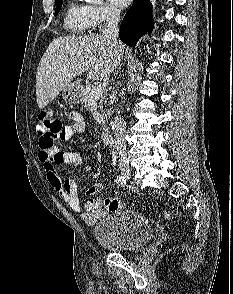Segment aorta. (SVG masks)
Listing matches in <instances>:
<instances>
[{
  "label": "aorta",
  "mask_w": 233,
  "mask_h": 294,
  "mask_svg": "<svg viewBox=\"0 0 233 294\" xmlns=\"http://www.w3.org/2000/svg\"><path fill=\"white\" fill-rule=\"evenodd\" d=\"M86 1L90 4H102L103 3V0H86ZM117 125H118V120H117V117H115V119L111 123V127L114 131H115Z\"/></svg>",
  "instance_id": "762f6f07"
}]
</instances>
